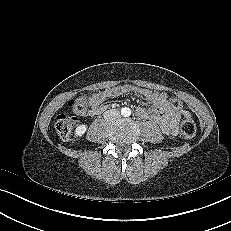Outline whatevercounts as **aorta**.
Instances as JSON below:
<instances>
[{
	"label": "aorta",
	"mask_w": 231,
	"mask_h": 231,
	"mask_svg": "<svg viewBox=\"0 0 231 231\" xmlns=\"http://www.w3.org/2000/svg\"><path fill=\"white\" fill-rule=\"evenodd\" d=\"M121 112H122V115L125 116V117H128L131 114V110L129 108H127V107L122 108Z\"/></svg>",
	"instance_id": "1"
}]
</instances>
